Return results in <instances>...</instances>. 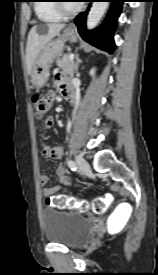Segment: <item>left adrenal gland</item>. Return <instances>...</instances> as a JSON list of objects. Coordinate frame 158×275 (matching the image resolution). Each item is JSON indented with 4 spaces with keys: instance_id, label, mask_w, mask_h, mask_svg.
<instances>
[{
    "instance_id": "obj_1",
    "label": "left adrenal gland",
    "mask_w": 158,
    "mask_h": 275,
    "mask_svg": "<svg viewBox=\"0 0 158 275\" xmlns=\"http://www.w3.org/2000/svg\"><path fill=\"white\" fill-rule=\"evenodd\" d=\"M75 58H76L75 73H78V67H79V64L82 62V60L79 58L78 54L75 55Z\"/></svg>"
}]
</instances>
